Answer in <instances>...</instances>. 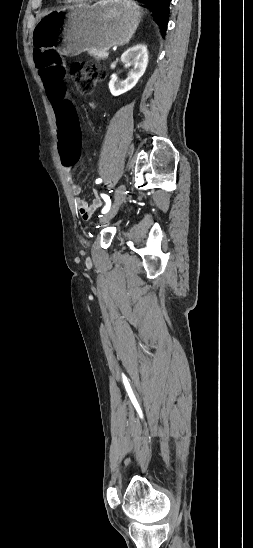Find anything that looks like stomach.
<instances>
[{"label":"stomach","instance_id":"obj_1","mask_svg":"<svg viewBox=\"0 0 253 548\" xmlns=\"http://www.w3.org/2000/svg\"><path fill=\"white\" fill-rule=\"evenodd\" d=\"M141 20V8L129 0H102L78 4L50 13L34 28L37 45L59 44L65 55L87 49H109L127 44Z\"/></svg>","mask_w":253,"mask_h":548}]
</instances>
